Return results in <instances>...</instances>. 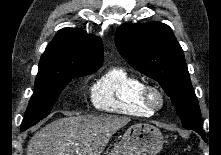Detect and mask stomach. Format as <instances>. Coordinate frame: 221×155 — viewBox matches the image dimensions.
I'll return each instance as SVG.
<instances>
[{"instance_id":"obj_1","label":"stomach","mask_w":221,"mask_h":155,"mask_svg":"<svg viewBox=\"0 0 221 155\" xmlns=\"http://www.w3.org/2000/svg\"><path fill=\"white\" fill-rule=\"evenodd\" d=\"M161 131L149 124H135L105 155H157L163 147Z\"/></svg>"}]
</instances>
